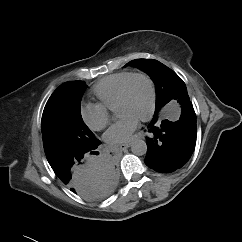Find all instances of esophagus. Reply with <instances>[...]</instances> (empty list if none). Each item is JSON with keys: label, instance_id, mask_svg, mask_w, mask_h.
Returning a JSON list of instances; mask_svg holds the SVG:
<instances>
[{"label": "esophagus", "instance_id": "1", "mask_svg": "<svg viewBox=\"0 0 242 242\" xmlns=\"http://www.w3.org/2000/svg\"><path fill=\"white\" fill-rule=\"evenodd\" d=\"M131 146V143H124V144H121L119 147L122 149V150H126L127 148H129Z\"/></svg>", "mask_w": 242, "mask_h": 242}]
</instances>
